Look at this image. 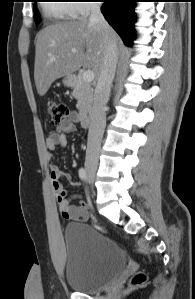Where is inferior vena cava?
<instances>
[{
  "instance_id": "inferior-vena-cava-1",
  "label": "inferior vena cava",
  "mask_w": 195,
  "mask_h": 299,
  "mask_svg": "<svg viewBox=\"0 0 195 299\" xmlns=\"http://www.w3.org/2000/svg\"><path fill=\"white\" fill-rule=\"evenodd\" d=\"M89 23L99 25L104 31V58L94 94V103L90 113V125L85 158V167L96 168L99 160L101 141L106 126V104L109 100L111 85L115 76L118 59L117 40L104 19L100 4H90Z\"/></svg>"
}]
</instances>
